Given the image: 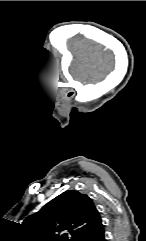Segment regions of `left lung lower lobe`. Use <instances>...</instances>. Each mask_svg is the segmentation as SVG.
I'll return each instance as SVG.
<instances>
[{
    "instance_id": "left-lung-lower-lobe-1",
    "label": "left lung lower lobe",
    "mask_w": 146,
    "mask_h": 241,
    "mask_svg": "<svg viewBox=\"0 0 146 241\" xmlns=\"http://www.w3.org/2000/svg\"><path fill=\"white\" fill-rule=\"evenodd\" d=\"M79 241H106L102 221L92 230L83 234Z\"/></svg>"
}]
</instances>
